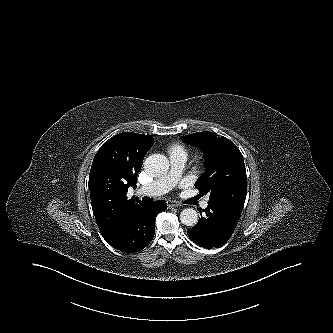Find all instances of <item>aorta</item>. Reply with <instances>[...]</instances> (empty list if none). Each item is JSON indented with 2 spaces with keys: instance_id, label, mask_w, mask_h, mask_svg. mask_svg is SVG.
<instances>
[{
  "instance_id": "1",
  "label": "aorta",
  "mask_w": 333,
  "mask_h": 333,
  "mask_svg": "<svg viewBox=\"0 0 333 333\" xmlns=\"http://www.w3.org/2000/svg\"><path fill=\"white\" fill-rule=\"evenodd\" d=\"M145 171L152 177L164 176L169 169V160L161 154H152L144 161ZM180 221L186 226H194L198 222V214L193 208H186L180 213Z\"/></svg>"
}]
</instances>
